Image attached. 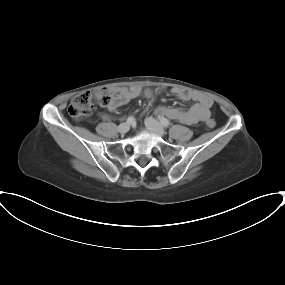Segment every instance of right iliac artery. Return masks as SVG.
I'll return each mask as SVG.
<instances>
[{"mask_svg":"<svg viewBox=\"0 0 285 285\" xmlns=\"http://www.w3.org/2000/svg\"><path fill=\"white\" fill-rule=\"evenodd\" d=\"M135 121L134 117L130 116L127 118V123L132 124Z\"/></svg>","mask_w":285,"mask_h":285,"instance_id":"1","label":"right iliac artery"}]
</instances>
